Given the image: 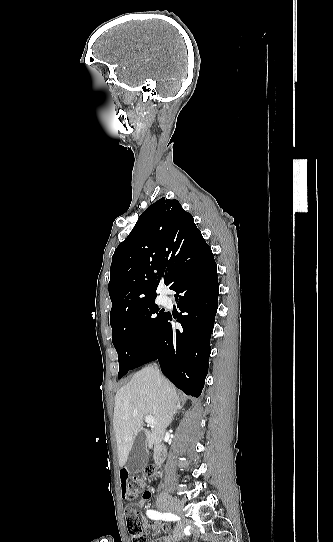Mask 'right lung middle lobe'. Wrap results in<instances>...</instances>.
Masks as SVG:
<instances>
[{
	"mask_svg": "<svg viewBox=\"0 0 333 542\" xmlns=\"http://www.w3.org/2000/svg\"><path fill=\"white\" fill-rule=\"evenodd\" d=\"M166 315L164 309L153 301L110 319L112 342L118 353L119 378L133 369L138 359L153 345Z\"/></svg>",
	"mask_w": 333,
	"mask_h": 542,
	"instance_id": "dd1d6c3e",
	"label": "right lung middle lobe"
}]
</instances>
